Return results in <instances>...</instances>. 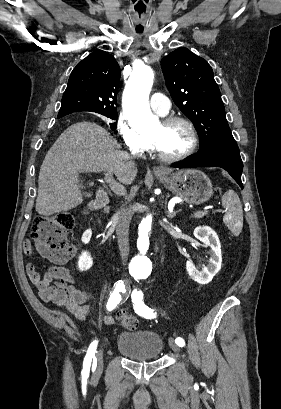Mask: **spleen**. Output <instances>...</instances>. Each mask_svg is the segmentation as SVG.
<instances>
[{
    "label": "spleen",
    "mask_w": 281,
    "mask_h": 409,
    "mask_svg": "<svg viewBox=\"0 0 281 409\" xmlns=\"http://www.w3.org/2000/svg\"><path fill=\"white\" fill-rule=\"evenodd\" d=\"M222 205L226 209L223 223L227 225L234 237H239L243 229V209L237 192L232 188L226 190L222 196Z\"/></svg>",
    "instance_id": "spleen-1"
}]
</instances>
